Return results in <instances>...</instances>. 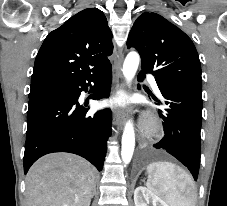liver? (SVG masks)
I'll return each instance as SVG.
<instances>
[{"label":"liver","instance_id":"obj_1","mask_svg":"<svg viewBox=\"0 0 227 206\" xmlns=\"http://www.w3.org/2000/svg\"><path fill=\"white\" fill-rule=\"evenodd\" d=\"M94 190L92 165L68 153L40 158L26 177L27 206H89Z\"/></svg>","mask_w":227,"mask_h":206}]
</instances>
